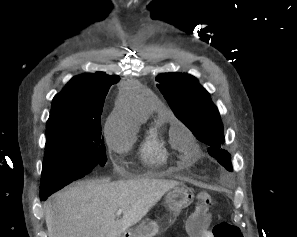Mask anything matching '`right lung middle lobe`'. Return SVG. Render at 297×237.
I'll return each instance as SVG.
<instances>
[{
    "instance_id": "1",
    "label": "right lung middle lobe",
    "mask_w": 297,
    "mask_h": 237,
    "mask_svg": "<svg viewBox=\"0 0 297 237\" xmlns=\"http://www.w3.org/2000/svg\"><path fill=\"white\" fill-rule=\"evenodd\" d=\"M41 192H56L106 162L101 124L66 121L46 130Z\"/></svg>"
}]
</instances>
